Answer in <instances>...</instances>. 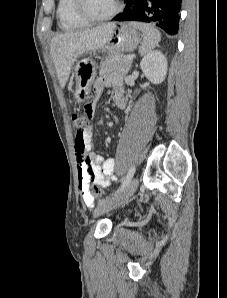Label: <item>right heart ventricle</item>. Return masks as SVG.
Returning a JSON list of instances; mask_svg holds the SVG:
<instances>
[{"label":"right heart ventricle","instance_id":"obj_1","mask_svg":"<svg viewBox=\"0 0 227 298\" xmlns=\"http://www.w3.org/2000/svg\"><path fill=\"white\" fill-rule=\"evenodd\" d=\"M59 23L64 30H74L88 26L89 22L81 18L76 10V0H59L57 7Z\"/></svg>","mask_w":227,"mask_h":298}]
</instances>
